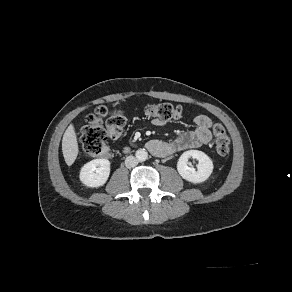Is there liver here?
I'll return each instance as SVG.
<instances>
[{
  "label": "liver",
  "instance_id": "6515ba94",
  "mask_svg": "<svg viewBox=\"0 0 292 292\" xmlns=\"http://www.w3.org/2000/svg\"><path fill=\"white\" fill-rule=\"evenodd\" d=\"M78 143L74 126L70 124L62 138V152L65 162L71 166L78 155Z\"/></svg>",
  "mask_w": 292,
  "mask_h": 292
}]
</instances>
